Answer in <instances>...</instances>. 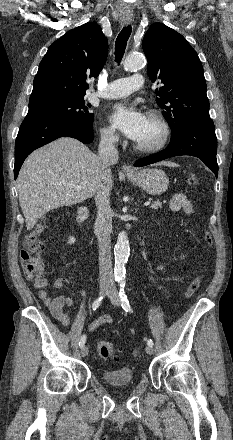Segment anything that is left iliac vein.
<instances>
[{
  "instance_id": "4c4485c4",
  "label": "left iliac vein",
  "mask_w": 233,
  "mask_h": 440,
  "mask_svg": "<svg viewBox=\"0 0 233 440\" xmlns=\"http://www.w3.org/2000/svg\"><path fill=\"white\" fill-rule=\"evenodd\" d=\"M108 297L111 300L113 305L120 306L121 300H120L118 291H117V289L114 286L110 287V289L108 291ZM145 351L149 355H152L154 353L153 347L149 346V345L145 348Z\"/></svg>"
}]
</instances>
